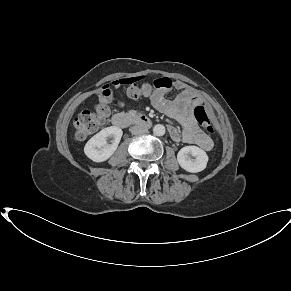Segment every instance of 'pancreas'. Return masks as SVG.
I'll list each match as a JSON object with an SVG mask.
<instances>
[{
  "mask_svg": "<svg viewBox=\"0 0 291 291\" xmlns=\"http://www.w3.org/2000/svg\"><path fill=\"white\" fill-rule=\"evenodd\" d=\"M128 115L131 116V117H137L138 116V114H137V112L135 110L128 111Z\"/></svg>",
  "mask_w": 291,
  "mask_h": 291,
  "instance_id": "obj_1",
  "label": "pancreas"
}]
</instances>
